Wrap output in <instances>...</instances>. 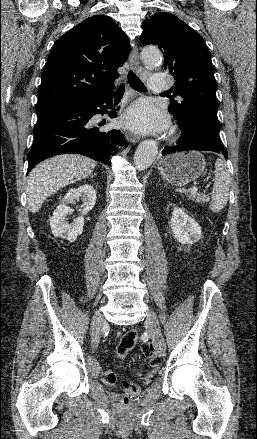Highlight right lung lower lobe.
<instances>
[{
  "label": "right lung lower lobe",
  "mask_w": 257,
  "mask_h": 439,
  "mask_svg": "<svg viewBox=\"0 0 257 439\" xmlns=\"http://www.w3.org/2000/svg\"><path fill=\"white\" fill-rule=\"evenodd\" d=\"M112 96L113 91L37 114L27 173L44 159L66 153L82 154L111 166L110 155L116 146L124 144V136L118 130L102 128L106 121L97 123L93 116L107 112Z\"/></svg>",
  "instance_id": "right-lung-lower-lobe-1"
}]
</instances>
